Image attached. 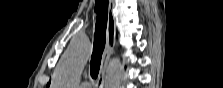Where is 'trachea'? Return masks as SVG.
<instances>
[{
  "instance_id": "1",
  "label": "trachea",
  "mask_w": 223,
  "mask_h": 88,
  "mask_svg": "<svg viewBox=\"0 0 223 88\" xmlns=\"http://www.w3.org/2000/svg\"><path fill=\"white\" fill-rule=\"evenodd\" d=\"M94 10L97 14V18L94 33V47L90 61V74L93 79H96L106 42L108 0H95Z\"/></svg>"
}]
</instances>
